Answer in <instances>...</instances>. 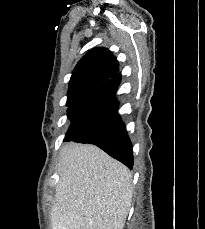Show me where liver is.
<instances>
[{"label": "liver", "mask_w": 205, "mask_h": 229, "mask_svg": "<svg viewBox=\"0 0 205 229\" xmlns=\"http://www.w3.org/2000/svg\"><path fill=\"white\" fill-rule=\"evenodd\" d=\"M52 229H123L132 201V175L89 144H67L58 165Z\"/></svg>", "instance_id": "obj_1"}]
</instances>
